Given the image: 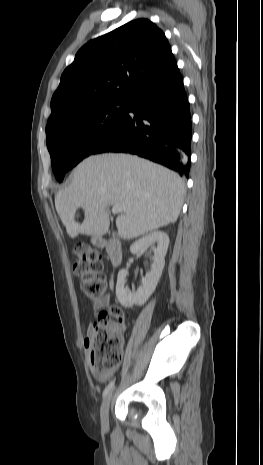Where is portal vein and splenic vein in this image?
Segmentation results:
<instances>
[{
	"mask_svg": "<svg viewBox=\"0 0 263 465\" xmlns=\"http://www.w3.org/2000/svg\"><path fill=\"white\" fill-rule=\"evenodd\" d=\"M124 210H125V208L122 205H114L112 207V213L113 214H118L120 212H123Z\"/></svg>",
	"mask_w": 263,
	"mask_h": 465,
	"instance_id": "obj_1",
	"label": "portal vein and splenic vein"
}]
</instances>
